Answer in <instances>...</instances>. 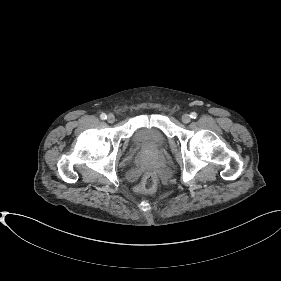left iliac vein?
Returning <instances> with one entry per match:
<instances>
[{
	"label": "left iliac vein",
	"mask_w": 281,
	"mask_h": 281,
	"mask_svg": "<svg viewBox=\"0 0 281 281\" xmlns=\"http://www.w3.org/2000/svg\"><path fill=\"white\" fill-rule=\"evenodd\" d=\"M190 121H191V117H190L189 114H184V115L182 116V122H183V123L187 124V123H189Z\"/></svg>",
	"instance_id": "4c4485c4"
}]
</instances>
